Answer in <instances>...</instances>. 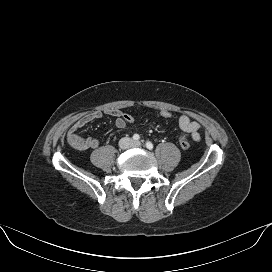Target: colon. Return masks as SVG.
<instances>
[{
	"label": "colon",
	"instance_id": "colon-1",
	"mask_svg": "<svg viewBox=\"0 0 272 272\" xmlns=\"http://www.w3.org/2000/svg\"><path fill=\"white\" fill-rule=\"evenodd\" d=\"M160 116L164 119H169L172 117V113L169 110H162L160 111ZM123 119L127 124H131L135 121L134 116L124 113L123 114ZM178 145L181 149H187L189 148V140H188V135L183 133L180 135L178 139Z\"/></svg>",
	"mask_w": 272,
	"mask_h": 272
}]
</instances>
